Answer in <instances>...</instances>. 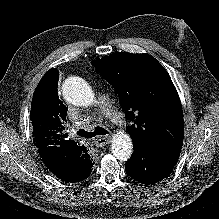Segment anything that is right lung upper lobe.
<instances>
[{"label": "right lung upper lobe", "instance_id": "right-lung-upper-lobe-1", "mask_svg": "<svg viewBox=\"0 0 219 219\" xmlns=\"http://www.w3.org/2000/svg\"><path fill=\"white\" fill-rule=\"evenodd\" d=\"M59 73L50 69L37 85L32 99L30 118L33 126V143L46 167L59 179L76 182L84 173L85 166L91 167L90 155L84 146L67 140L64 134L67 108L57 94ZM76 152L85 162L68 158Z\"/></svg>", "mask_w": 219, "mask_h": 219}]
</instances>
